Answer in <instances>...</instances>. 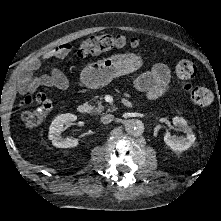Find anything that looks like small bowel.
<instances>
[{
    "mask_svg": "<svg viewBox=\"0 0 221 221\" xmlns=\"http://www.w3.org/2000/svg\"><path fill=\"white\" fill-rule=\"evenodd\" d=\"M71 51L72 46L70 44H63L32 59L21 73L19 91L21 93H33L40 87L69 89V79L58 69H52L49 73L41 76H35L34 74L41 67L43 61L65 57ZM134 84L137 89L145 93L148 99H157L167 92L171 86L169 69L163 63H156L148 72L135 78Z\"/></svg>",
    "mask_w": 221,
    "mask_h": 221,
    "instance_id": "small-bowel-1",
    "label": "small bowel"
}]
</instances>
